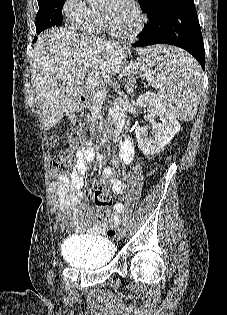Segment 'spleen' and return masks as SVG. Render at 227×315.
<instances>
[{
  "mask_svg": "<svg viewBox=\"0 0 227 315\" xmlns=\"http://www.w3.org/2000/svg\"><path fill=\"white\" fill-rule=\"evenodd\" d=\"M143 54L160 71L159 98L163 105L181 121L194 118L202 93L201 69L186 53L173 47L155 46Z\"/></svg>",
  "mask_w": 227,
  "mask_h": 315,
  "instance_id": "spleen-1",
  "label": "spleen"
}]
</instances>
